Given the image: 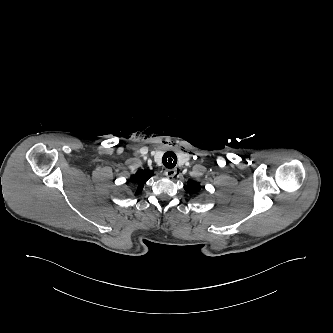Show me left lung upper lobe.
Segmentation results:
<instances>
[{
	"label": "left lung upper lobe",
	"mask_w": 333,
	"mask_h": 333,
	"mask_svg": "<svg viewBox=\"0 0 333 333\" xmlns=\"http://www.w3.org/2000/svg\"><path fill=\"white\" fill-rule=\"evenodd\" d=\"M184 189L188 193H195L200 190V184L194 181L188 182Z\"/></svg>",
	"instance_id": "5c2ea615"
}]
</instances>
